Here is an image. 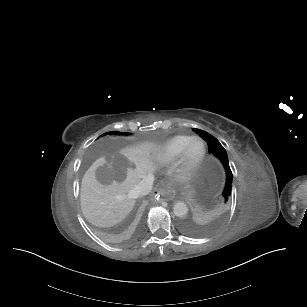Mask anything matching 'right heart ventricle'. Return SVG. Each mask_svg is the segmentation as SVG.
<instances>
[{"instance_id":"1","label":"right heart ventricle","mask_w":307,"mask_h":307,"mask_svg":"<svg viewBox=\"0 0 307 307\" xmlns=\"http://www.w3.org/2000/svg\"><path fill=\"white\" fill-rule=\"evenodd\" d=\"M192 137L190 135H174L148 148V152L157 160L169 163L176 160Z\"/></svg>"}]
</instances>
